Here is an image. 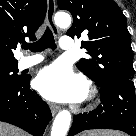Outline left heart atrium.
<instances>
[{
	"label": "left heart atrium",
	"instance_id": "1",
	"mask_svg": "<svg viewBox=\"0 0 136 136\" xmlns=\"http://www.w3.org/2000/svg\"><path fill=\"white\" fill-rule=\"evenodd\" d=\"M35 87L45 98L59 102L79 101L87 92L84 79L61 63L42 69L36 77Z\"/></svg>",
	"mask_w": 136,
	"mask_h": 136
}]
</instances>
